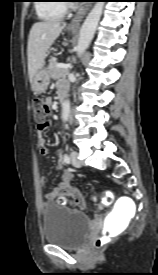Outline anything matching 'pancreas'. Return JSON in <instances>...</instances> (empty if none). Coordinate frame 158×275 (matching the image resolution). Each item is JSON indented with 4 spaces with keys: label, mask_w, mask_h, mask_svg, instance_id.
I'll use <instances>...</instances> for the list:
<instances>
[{
    "label": "pancreas",
    "mask_w": 158,
    "mask_h": 275,
    "mask_svg": "<svg viewBox=\"0 0 158 275\" xmlns=\"http://www.w3.org/2000/svg\"><path fill=\"white\" fill-rule=\"evenodd\" d=\"M57 59L56 58H51L49 60V65H48V74L51 78L53 79H58L60 77H66L69 73V69L65 68H59L57 67Z\"/></svg>",
    "instance_id": "1"
}]
</instances>
